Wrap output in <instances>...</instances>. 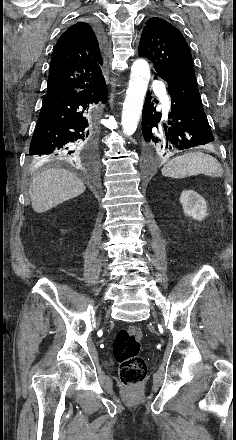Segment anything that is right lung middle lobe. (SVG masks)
Returning <instances> with one entry per match:
<instances>
[{"mask_svg": "<svg viewBox=\"0 0 236 440\" xmlns=\"http://www.w3.org/2000/svg\"><path fill=\"white\" fill-rule=\"evenodd\" d=\"M31 162H32L33 164H36V163H37V160H36V159H31Z\"/></svg>", "mask_w": 236, "mask_h": 440, "instance_id": "right-lung-middle-lobe-1", "label": "right lung middle lobe"}]
</instances>
